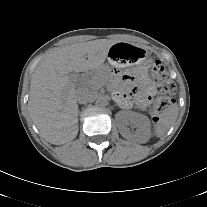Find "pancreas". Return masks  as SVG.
Listing matches in <instances>:
<instances>
[{"label":"pancreas","instance_id":"cf45deb5","mask_svg":"<svg viewBox=\"0 0 207 207\" xmlns=\"http://www.w3.org/2000/svg\"><path fill=\"white\" fill-rule=\"evenodd\" d=\"M111 84L112 80L110 79V76L106 73L105 69L102 68L95 70L89 81V86L92 89H97L101 85H107L110 87Z\"/></svg>","mask_w":207,"mask_h":207}]
</instances>
